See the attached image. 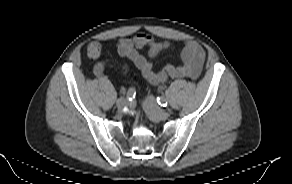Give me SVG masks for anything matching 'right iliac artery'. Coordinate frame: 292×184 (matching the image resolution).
Masks as SVG:
<instances>
[{
	"label": "right iliac artery",
	"mask_w": 292,
	"mask_h": 184,
	"mask_svg": "<svg viewBox=\"0 0 292 184\" xmlns=\"http://www.w3.org/2000/svg\"><path fill=\"white\" fill-rule=\"evenodd\" d=\"M135 97V89L130 88L127 92V99L132 100Z\"/></svg>",
	"instance_id": "1"
}]
</instances>
